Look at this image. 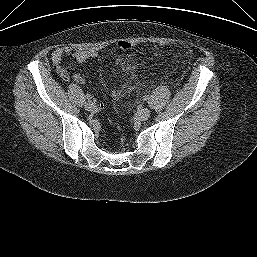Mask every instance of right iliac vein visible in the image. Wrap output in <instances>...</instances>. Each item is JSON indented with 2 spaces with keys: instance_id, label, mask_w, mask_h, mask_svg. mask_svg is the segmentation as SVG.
Masks as SVG:
<instances>
[{
  "instance_id": "right-iliac-vein-1",
  "label": "right iliac vein",
  "mask_w": 257,
  "mask_h": 257,
  "mask_svg": "<svg viewBox=\"0 0 257 257\" xmlns=\"http://www.w3.org/2000/svg\"><path fill=\"white\" fill-rule=\"evenodd\" d=\"M84 107L87 111L95 110V105L91 101L86 102Z\"/></svg>"
}]
</instances>
